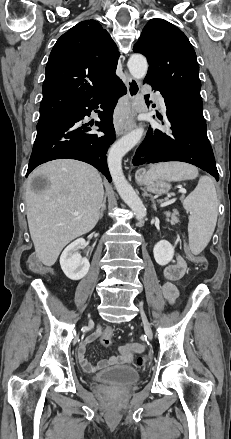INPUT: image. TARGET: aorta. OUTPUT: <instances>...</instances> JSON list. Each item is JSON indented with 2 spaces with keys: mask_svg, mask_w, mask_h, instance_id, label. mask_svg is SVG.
I'll return each mask as SVG.
<instances>
[{
  "mask_svg": "<svg viewBox=\"0 0 231 439\" xmlns=\"http://www.w3.org/2000/svg\"><path fill=\"white\" fill-rule=\"evenodd\" d=\"M128 69L133 78L143 79L148 70L146 58L142 54H133L128 60ZM143 133L144 129L139 127L117 140L111 146L107 158L115 188L122 200L134 212L137 220L146 216V208L123 174L122 158L141 140Z\"/></svg>",
  "mask_w": 231,
  "mask_h": 439,
  "instance_id": "obj_1",
  "label": "aorta"
}]
</instances>
